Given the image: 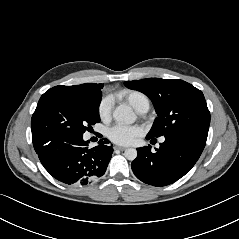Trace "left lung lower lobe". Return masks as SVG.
<instances>
[{"mask_svg": "<svg viewBox=\"0 0 239 239\" xmlns=\"http://www.w3.org/2000/svg\"><path fill=\"white\" fill-rule=\"evenodd\" d=\"M205 144V140L192 136L167 135L155 153L151 152L150 146L137 148L138 155L131 167L142 182L166 186L183 177L194 166Z\"/></svg>", "mask_w": 239, "mask_h": 239, "instance_id": "1", "label": "left lung lower lobe"}]
</instances>
